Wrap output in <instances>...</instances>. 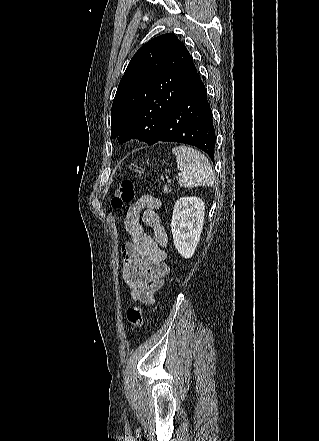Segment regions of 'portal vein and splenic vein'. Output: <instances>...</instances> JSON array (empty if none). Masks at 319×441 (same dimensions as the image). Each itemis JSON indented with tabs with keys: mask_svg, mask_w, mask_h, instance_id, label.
Segmentation results:
<instances>
[{
	"mask_svg": "<svg viewBox=\"0 0 319 441\" xmlns=\"http://www.w3.org/2000/svg\"><path fill=\"white\" fill-rule=\"evenodd\" d=\"M181 175H182L181 173L178 174V176H181Z\"/></svg>",
	"mask_w": 319,
	"mask_h": 441,
	"instance_id": "portal-vein-and-splenic-vein-1",
	"label": "portal vein and splenic vein"
}]
</instances>
